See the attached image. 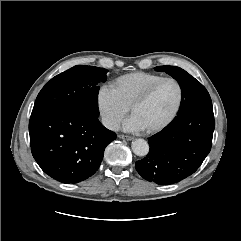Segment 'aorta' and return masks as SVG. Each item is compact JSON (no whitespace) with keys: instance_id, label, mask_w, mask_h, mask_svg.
Masks as SVG:
<instances>
[{"instance_id":"1","label":"aorta","mask_w":241,"mask_h":241,"mask_svg":"<svg viewBox=\"0 0 241 241\" xmlns=\"http://www.w3.org/2000/svg\"><path fill=\"white\" fill-rule=\"evenodd\" d=\"M132 151L137 156H146L149 152V144L144 139H136L131 144Z\"/></svg>"}]
</instances>
